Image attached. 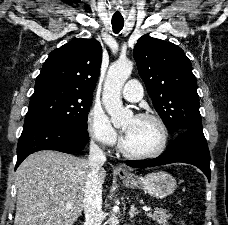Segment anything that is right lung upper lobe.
Listing matches in <instances>:
<instances>
[{"mask_svg":"<svg viewBox=\"0 0 228 225\" xmlns=\"http://www.w3.org/2000/svg\"><path fill=\"white\" fill-rule=\"evenodd\" d=\"M101 60L102 47L97 40L77 38L50 53L35 86L55 83L92 93Z\"/></svg>","mask_w":228,"mask_h":225,"instance_id":"obj_1","label":"right lung upper lobe"}]
</instances>
